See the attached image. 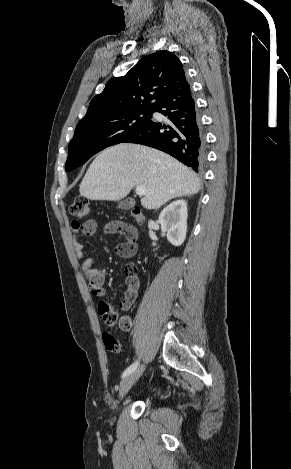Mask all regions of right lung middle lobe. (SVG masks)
Segmentation results:
<instances>
[{"label":"right lung middle lobe","mask_w":291,"mask_h":469,"mask_svg":"<svg viewBox=\"0 0 291 469\" xmlns=\"http://www.w3.org/2000/svg\"><path fill=\"white\" fill-rule=\"evenodd\" d=\"M153 110L136 109L117 115L82 120L69 144L66 171H70L104 148L123 142L149 122Z\"/></svg>","instance_id":"dd1d6c3e"}]
</instances>
